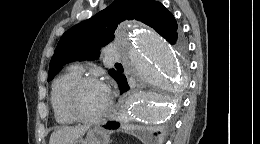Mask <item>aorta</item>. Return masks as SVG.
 <instances>
[{"label": "aorta", "mask_w": 260, "mask_h": 144, "mask_svg": "<svg viewBox=\"0 0 260 144\" xmlns=\"http://www.w3.org/2000/svg\"><path fill=\"white\" fill-rule=\"evenodd\" d=\"M128 68L146 83L164 90L182 87V65L173 47L152 29L138 26L122 38ZM174 107L173 99L155 93L138 92L125 107V124L159 123L167 120Z\"/></svg>", "instance_id": "aorta-1"}]
</instances>
